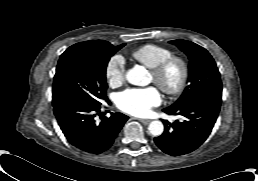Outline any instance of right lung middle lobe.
<instances>
[{
    "instance_id": "right-lung-middle-lobe-1",
    "label": "right lung middle lobe",
    "mask_w": 258,
    "mask_h": 181,
    "mask_svg": "<svg viewBox=\"0 0 258 181\" xmlns=\"http://www.w3.org/2000/svg\"><path fill=\"white\" fill-rule=\"evenodd\" d=\"M125 44L104 46L77 43L61 56L53 82V102L75 99L91 106L106 100V67L110 57Z\"/></svg>"
}]
</instances>
